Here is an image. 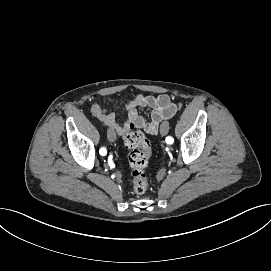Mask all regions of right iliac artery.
<instances>
[{
  "label": "right iliac artery",
  "instance_id": "right-iliac-artery-1",
  "mask_svg": "<svg viewBox=\"0 0 271 271\" xmlns=\"http://www.w3.org/2000/svg\"><path fill=\"white\" fill-rule=\"evenodd\" d=\"M100 152H101V154H106V152H107V149H106V147H101V149H100Z\"/></svg>",
  "mask_w": 271,
  "mask_h": 271
}]
</instances>
